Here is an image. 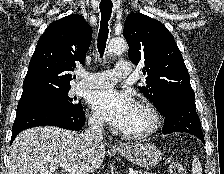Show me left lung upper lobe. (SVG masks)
<instances>
[{
	"mask_svg": "<svg viewBox=\"0 0 224 174\" xmlns=\"http://www.w3.org/2000/svg\"><path fill=\"white\" fill-rule=\"evenodd\" d=\"M123 35L129 45V57L135 65H144L146 85L140 91L158 110L166 98L195 97L190 76L179 48L166 27L141 13L127 16Z\"/></svg>",
	"mask_w": 224,
	"mask_h": 174,
	"instance_id": "obj_1",
	"label": "left lung upper lobe"
}]
</instances>
